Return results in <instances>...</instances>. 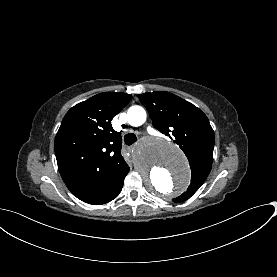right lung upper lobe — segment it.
I'll list each match as a JSON object with an SVG mask.
<instances>
[{"mask_svg": "<svg viewBox=\"0 0 277 277\" xmlns=\"http://www.w3.org/2000/svg\"><path fill=\"white\" fill-rule=\"evenodd\" d=\"M131 98L100 93L72 107L62 120L54 144L58 169L68 189L84 202L106 192L128 166L111 120Z\"/></svg>", "mask_w": 277, "mask_h": 277, "instance_id": "right-lung-upper-lobe-1", "label": "right lung upper lobe"}]
</instances>
